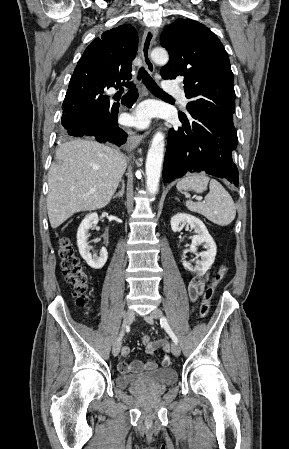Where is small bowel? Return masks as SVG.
<instances>
[{
	"mask_svg": "<svg viewBox=\"0 0 289 449\" xmlns=\"http://www.w3.org/2000/svg\"><path fill=\"white\" fill-rule=\"evenodd\" d=\"M208 280V275H199L191 280L188 285V292L190 299L192 301H196L203 293L206 282ZM170 341L164 339L150 340L147 343H143L145 345L146 352L152 356H154L156 350L159 348L163 349L164 354L161 356L160 366L163 369H168L170 367L171 362V354L172 349L168 346ZM130 353V348L125 346L122 348V355L127 356ZM157 361L155 359L149 360L147 362H142L139 360H135L131 363H127L125 361H121L118 364V370L120 373H138L141 371H151L157 368Z\"/></svg>",
	"mask_w": 289,
	"mask_h": 449,
	"instance_id": "small-bowel-1",
	"label": "small bowel"
}]
</instances>
